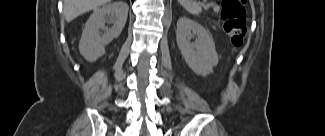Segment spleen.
Segmentation results:
<instances>
[{
	"mask_svg": "<svg viewBox=\"0 0 325 136\" xmlns=\"http://www.w3.org/2000/svg\"><path fill=\"white\" fill-rule=\"evenodd\" d=\"M179 2L190 14L198 15L202 11L201 7L197 3L190 0H180Z\"/></svg>",
	"mask_w": 325,
	"mask_h": 136,
	"instance_id": "obj_1",
	"label": "spleen"
}]
</instances>
